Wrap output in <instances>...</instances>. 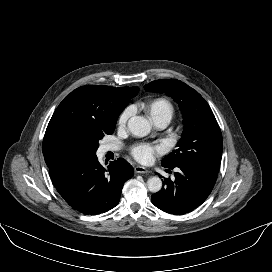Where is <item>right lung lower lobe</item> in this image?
Returning a JSON list of instances; mask_svg holds the SVG:
<instances>
[{
  "label": "right lung lower lobe",
  "mask_w": 272,
  "mask_h": 272,
  "mask_svg": "<svg viewBox=\"0 0 272 272\" xmlns=\"http://www.w3.org/2000/svg\"><path fill=\"white\" fill-rule=\"evenodd\" d=\"M52 182L63 199L83 214H100L114 208L124 183L134 170L118 158L103 167L95 155L49 167Z\"/></svg>",
  "instance_id": "obj_1"
}]
</instances>
